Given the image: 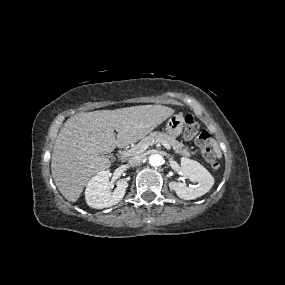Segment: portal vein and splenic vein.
<instances>
[{"instance_id": "portal-vein-and-splenic-vein-1", "label": "portal vein and splenic vein", "mask_w": 285, "mask_h": 285, "mask_svg": "<svg viewBox=\"0 0 285 285\" xmlns=\"http://www.w3.org/2000/svg\"><path fill=\"white\" fill-rule=\"evenodd\" d=\"M167 150H170L171 149V146L166 143L165 141L163 140H158ZM154 144V141H152L151 143L149 144H145V145H142V149L146 150L148 148L149 145H153ZM126 156L127 155H130L129 152H125L124 153Z\"/></svg>"}]
</instances>
